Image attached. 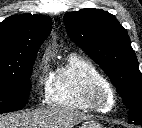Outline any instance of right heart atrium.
<instances>
[{"label": "right heart atrium", "mask_w": 142, "mask_h": 128, "mask_svg": "<svg viewBox=\"0 0 142 128\" xmlns=\"http://www.w3.org/2000/svg\"><path fill=\"white\" fill-rule=\"evenodd\" d=\"M52 77L53 72L49 66L48 60L46 57H43L34 72L35 87L41 99L47 100L52 83Z\"/></svg>", "instance_id": "1"}]
</instances>
